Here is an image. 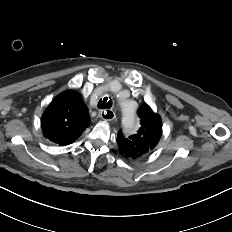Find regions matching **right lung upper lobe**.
Masks as SVG:
<instances>
[{"label":"right lung upper lobe","mask_w":232,"mask_h":232,"mask_svg":"<svg viewBox=\"0 0 232 232\" xmlns=\"http://www.w3.org/2000/svg\"><path fill=\"white\" fill-rule=\"evenodd\" d=\"M90 117L81 95L67 90L44 111L41 128L46 139L60 146L71 144L89 127Z\"/></svg>","instance_id":"cb5924a9"}]
</instances>
